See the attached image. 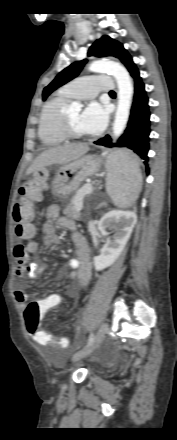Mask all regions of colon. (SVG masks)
Returning <instances> with one entry per match:
<instances>
[{
    "instance_id": "obj_1",
    "label": "colon",
    "mask_w": 177,
    "mask_h": 440,
    "mask_svg": "<svg viewBox=\"0 0 177 440\" xmlns=\"http://www.w3.org/2000/svg\"><path fill=\"white\" fill-rule=\"evenodd\" d=\"M45 172L38 173L33 179L26 181L19 188V199L12 209V219L15 223L14 233L19 238H29L33 233L34 210L33 205L41 199V193L46 188ZM21 248L20 255L26 256L28 247L22 243L17 244ZM63 298H32L23 312L26 329L32 342H37L38 347L51 346V352H61L62 348L69 345L67 336L49 334L48 330H40V323L48 311H57L63 306Z\"/></svg>"
}]
</instances>
